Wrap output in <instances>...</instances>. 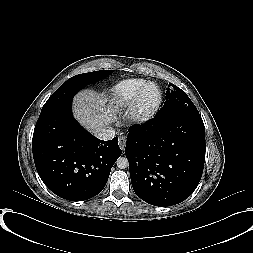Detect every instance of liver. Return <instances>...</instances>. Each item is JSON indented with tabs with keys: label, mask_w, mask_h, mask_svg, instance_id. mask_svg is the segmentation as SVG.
I'll use <instances>...</instances> for the list:
<instances>
[{
	"label": "liver",
	"mask_w": 253,
	"mask_h": 253,
	"mask_svg": "<svg viewBox=\"0 0 253 253\" xmlns=\"http://www.w3.org/2000/svg\"><path fill=\"white\" fill-rule=\"evenodd\" d=\"M73 113L83 127L95 134L117 122L119 109L104 93L83 90L74 97Z\"/></svg>",
	"instance_id": "liver-1"
}]
</instances>
